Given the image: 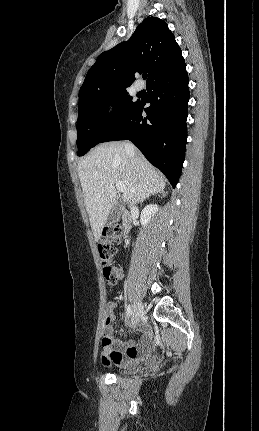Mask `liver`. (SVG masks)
Segmentation results:
<instances>
[{
  "label": "liver",
  "mask_w": 259,
  "mask_h": 431,
  "mask_svg": "<svg viewBox=\"0 0 259 431\" xmlns=\"http://www.w3.org/2000/svg\"><path fill=\"white\" fill-rule=\"evenodd\" d=\"M125 142L102 143L78 163V176L95 240L100 239L108 215L116 204V182L126 190V202H143L164 191L166 179L136 148L125 149Z\"/></svg>",
  "instance_id": "obj_1"
}]
</instances>
